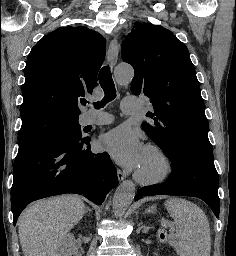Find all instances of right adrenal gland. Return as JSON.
<instances>
[{
	"mask_svg": "<svg viewBox=\"0 0 236 256\" xmlns=\"http://www.w3.org/2000/svg\"><path fill=\"white\" fill-rule=\"evenodd\" d=\"M87 212H92V210H89V208H86Z\"/></svg>",
	"mask_w": 236,
	"mask_h": 256,
	"instance_id": "right-adrenal-gland-1",
	"label": "right adrenal gland"
}]
</instances>
